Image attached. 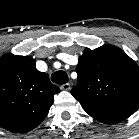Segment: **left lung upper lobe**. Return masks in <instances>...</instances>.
I'll list each match as a JSON object with an SVG mask.
<instances>
[{
    "label": "left lung upper lobe",
    "mask_w": 139,
    "mask_h": 139,
    "mask_svg": "<svg viewBox=\"0 0 139 139\" xmlns=\"http://www.w3.org/2000/svg\"><path fill=\"white\" fill-rule=\"evenodd\" d=\"M71 94L93 116L128 114L139 108V66L120 48L104 45L85 51L76 67Z\"/></svg>",
    "instance_id": "left-lung-upper-lobe-1"
}]
</instances>
